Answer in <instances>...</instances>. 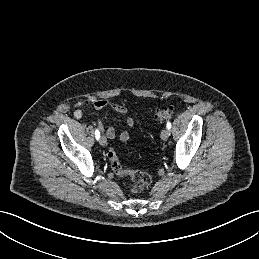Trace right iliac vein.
I'll return each instance as SVG.
<instances>
[{"label": "right iliac vein", "instance_id": "obj_1", "mask_svg": "<svg viewBox=\"0 0 259 259\" xmlns=\"http://www.w3.org/2000/svg\"><path fill=\"white\" fill-rule=\"evenodd\" d=\"M99 143L102 145V146H105L107 144V140L104 136H101L100 139H99Z\"/></svg>", "mask_w": 259, "mask_h": 259}]
</instances>
